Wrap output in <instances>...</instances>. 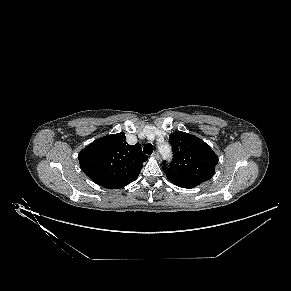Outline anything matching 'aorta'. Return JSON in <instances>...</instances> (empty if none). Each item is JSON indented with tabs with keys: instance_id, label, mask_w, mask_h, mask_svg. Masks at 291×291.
<instances>
[{
	"instance_id": "obj_1",
	"label": "aorta",
	"mask_w": 291,
	"mask_h": 291,
	"mask_svg": "<svg viewBox=\"0 0 291 291\" xmlns=\"http://www.w3.org/2000/svg\"><path fill=\"white\" fill-rule=\"evenodd\" d=\"M159 151L165 159H168L171 157V148L168 144L160 145Z\"/></svg>"
}]
</instances>
